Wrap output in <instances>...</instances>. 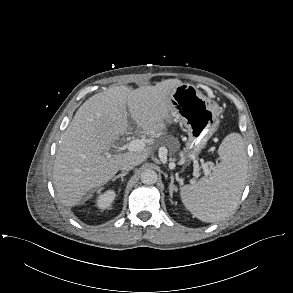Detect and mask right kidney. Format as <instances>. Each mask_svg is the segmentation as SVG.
<instances>
[{
  "label": "right kidney",
  "instance_id": "right-kidney-1",
  "mask_svg": "<svg viewBox=\"0 0 293 293\" xmlns=\"http://www.w3.org/2000/svg\"><path fill=\"white\" fill-rule=\"evenodd\" d=\"M116 197V193L113 190H108L97 197L96 205L100 209H107L111 206Z\"/></svg>",
  "mask_w": 293,
  "mask_h": 293
}]
</instances>
